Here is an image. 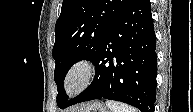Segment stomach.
Masks as SVG:
<instances>
[{"label": "stomach", "instance_id": "1", "mask_svg": "<svg viewBox=\"0 0 193 112\" xmlns=\"http://www.w3.org/2000/svg\"><path fill=\"white\" fill-rule=\"evenodd\" d=\"M75 112H109L106 107L99 101L86 103L79 107Z\"/></svg>", "mask_w": 193, "mask_h": 112}]
</instances>
